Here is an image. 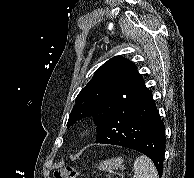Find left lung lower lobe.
<instances>
[{"label":"left lung lower lobe","instance_id":"1","mask_svg":"<svg viewBox=\"0 0 194 178\" xmlns=\"http://www.w3.org/2000/svg\"><path fill=\"white\" fill-rule=\"evenodd\" d=\"M165 142V126L149 89L131 95L108 113L97 127L95 141L145 154L155 164L159 177Z\"/></svg>","mask_w":194,"mask_h":178}]
</instances>
